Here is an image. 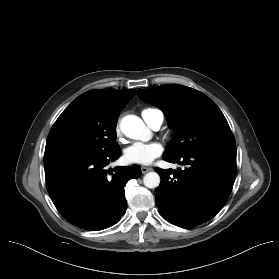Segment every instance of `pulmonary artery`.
Returning a JSON list of instances; mask_svg holds the SVG:
<instances>
[{
	"instance_id": "pulmonary-artery-1",
	"label": "pulmonary artery",
	"mask_w": 279,
	"mask_h": 279,
	"mask_svg": "<svg viewBox=\"0 0 279 279\" xmlns=\"http://www.w3.org/2000/svg\"><path fill=\"white\" fill-rule=\"evenodd\" d=\"M147 124L154 130H158L163 122V114L158 110H153L151 112L142 115Z\"/></svg>"
}]
</instances>
